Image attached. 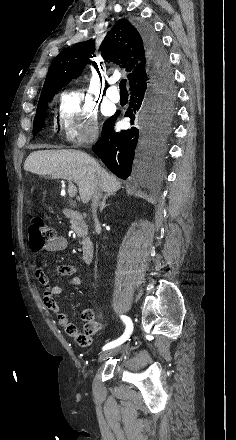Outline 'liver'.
<instances>
[{"label":"liver","instance_id":"obj_1","mask_svg":"<svg viewBox=\"0 0 236 440\" xmlns=\"http://www.w3.org/2000/svg\"><path fill=\"white\" fill-rule=\"evenodd\" d=\"M25 171L54 178L73 179L83 203H88L96 187L114 194L120 181L100 166L87 153L74 150H39L32 152L24 163Z\"/></svg>","mask_w":236,"mask_h":440}]
</instances>
